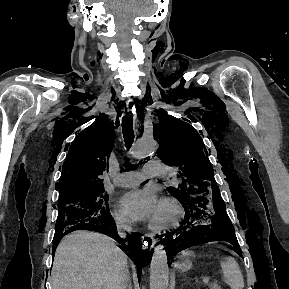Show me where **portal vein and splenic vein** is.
<instances>
[{"mask_svg":"<svg viewBox=\"0 0 289 289\" xmlns=\"http://www.w3.org/2000/svg\"><path fill=\"white\" fill-rule=\"evenodd\" d=\"M209 283H210V278L209 277L203 278V284L204 285H208Z\"/></svg>","mask_w":289,"mask_h":289,"instance_id":"18ae733b","label":"portal vein and splenic vein"}]
</instances>
